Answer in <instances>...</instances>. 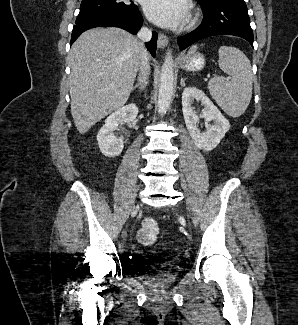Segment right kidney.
Returning <instances> with one entry per match:
<instances>
[{
    "instance_id": "ca27d5eb",
    "label": "right kidney",
    "mask_w": 298,
    "mask_h": 325,
    "mask_svg": "<svg viewBox=\"0 0 298 325\" xmlns=\"http://www.w3.org/2000/svg\"><path fill=\"white\" fill-rule=\"evenodd\" d=\"M138 114V106L135 102L125 104L122 108H118L112 114L105 118V124L101 126L98 134V146L104 156H118L124 148V138L115 136L114 130L118 128L119 122H127L132 124Z\"/></svg>"
}]
</instances>
